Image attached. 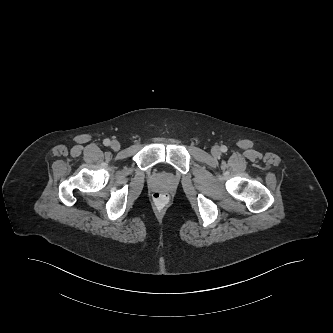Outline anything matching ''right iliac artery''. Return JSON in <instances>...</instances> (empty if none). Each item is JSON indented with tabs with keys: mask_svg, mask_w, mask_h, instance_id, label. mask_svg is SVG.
Returning <instances> with one entry per match:
<instances>
[{
	"mask_svg": "<svg viewBox=\"0 0 333 333\" xmlns=\"http://www.w3.org/2000/svg\"><path fill=\"white\" fill-rule=\"evenodd\" d=\"M103 144H104L105 146H109V145H110V140H109V139H105V140L103 141Z\"/></svg>",
	"mask_w": 333,
	"mask_h": 333,
	"instance_id": "obj_1",
	"label": "right iliac artery"
}]
</instances>
